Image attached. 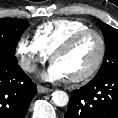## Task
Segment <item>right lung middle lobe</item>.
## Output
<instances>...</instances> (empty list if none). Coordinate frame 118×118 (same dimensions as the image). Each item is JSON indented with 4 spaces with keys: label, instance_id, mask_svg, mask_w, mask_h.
<instances>
[{
    "label": "right lung middle lobe",
    "instance_id": "1",
    "mask_svg": "<svg viewBox=\"0 0 118 118\" xmlns=\"http://www.w3.org/2000/svg\"><path fill=\"white\" fill-rule=\"evenodd\" d=\"M28 26V21L23 19H0V60H16L17 42Z\"/></svg>",
    "mask_w": 118,
    "mask_h": 118
}]
</instances>
